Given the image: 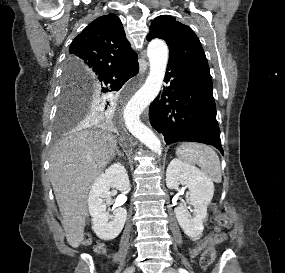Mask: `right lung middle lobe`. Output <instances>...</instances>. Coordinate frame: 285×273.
I'll return each mask as SVG.
<instances>
[{
	"label": "right lung middle lobe",
	"instance_id": "obj_1",
	"mask_svg": "<svg viewBox=\"0 0 285 273\" xmlns=\"http://www.w3.org/2000/svg\"><path fill=\"white\" fill-rule=\"evenodd\" d=\"M99 91L101 90L91 87L90 81L79 79L75 74L69 73L65 66L57 127L62 129L91 115L100 117L102 108L108 101L99 95ZM113 103L114 99L110 97L109 104Z\"/></svg>",
	"mask_w": 285,
	"mask_h": 273
}]
</instances>
